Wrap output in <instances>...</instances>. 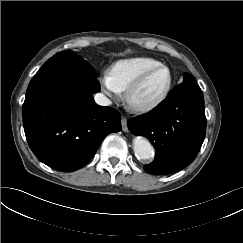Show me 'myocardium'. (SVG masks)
I'll list each match as a JSON object with an SVG mask.
<instances>
[{
    "label": "myocardium",
    "instance_id": "1",
    "mask_svg": "<svg viewBox=\"0 0 243 243\" xmlns=\"http://www.w3.org/2000/svg\"><path fill=\"white\" fill-rule=\"evenodd\" d=\"M166 70L168 74V79L163 90L154 98L145 101V102H137L134 99L136 92L140 89V87L144 84L146 79L157 70ZM173 77L171 70L163 65H157L148 70L144 71L125 91V102L126 104L134 111L137 112H148L157 106H159L169 95L172 87Z\"/></svg>",
    "mask_w": 243,
    "mask_h": 243
}]
</instances>
